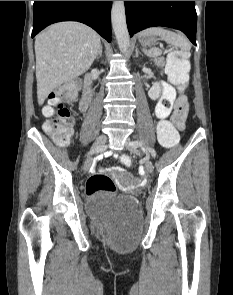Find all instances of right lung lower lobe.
Listing matches in <instances>:
<instances>
[{
	"mask_svg": "<svg viewBox=\"0 0 233 295\" xmlns=\"http://www.w3.org/2000/svg\"><path fill=\"white\" fill-rule=\"evenodd\" d=\"M112 1H34L32 38L46 26L59 21H79L111 41Z\"/></svg>",
	"mask_w": 233,
	"mask_h": 295,
	"instance_id": "1",
	"label": "right lung lower lobe"
}]
</instances>
